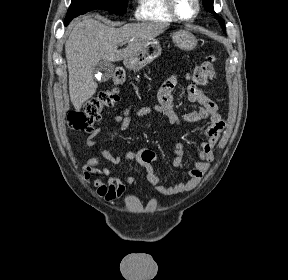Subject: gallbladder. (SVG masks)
<instances>
[{"mask_svg": "<svg viewBox=\"0 0 288 280\" xmlns=\"http://www.w3.org/2000/svg\"><path fill=\"white\" fill-rule=\"evenodd\" d=\"M114 65L110 62L101 60L94 68L95 72H102L101 81H107L113 74Z\"/></svg>", "mask_w": 288, "mask_h": 280, "instance_id": "gallbladder-1", "label": "gallbladder"}]
</instances>
